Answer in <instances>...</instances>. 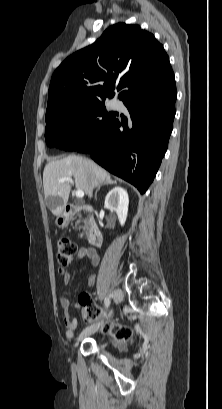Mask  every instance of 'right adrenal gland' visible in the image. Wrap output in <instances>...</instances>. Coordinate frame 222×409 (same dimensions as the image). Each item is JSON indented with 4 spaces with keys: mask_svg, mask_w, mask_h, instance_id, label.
I'll return each mask as SVG.
<instances>
[{
    "mask_svg": "<svg viewBox=\"0 0 222 409\" xmlns=\"http://www.w3.org/2000/svg\"><path fill=\"white\" fill-rule=\"evenodd\" d=\"M116 182L113 181L110 177H108L104 182H101L100 185L98 186L96 192H95V199L97 200V193L101 189L102 186L108 185V184H115Z\"/></svg>",
    "mask_w": 222,
    "mask_h": 409,
    "instance_id": "2a0ac1e0",
    "label": "right adrenal gland"
}]
</instances>
